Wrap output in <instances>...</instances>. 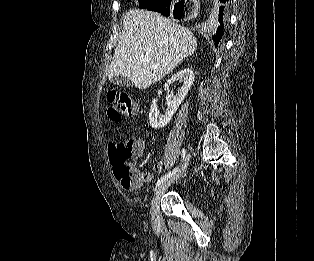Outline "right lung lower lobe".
Wrapping results in <instances>:
<instances>
[{"mask_svg": "<svg viewBox=\"0 0 314 261\" xmlns=\"http://www.w3.org/2000/svg\"><path fill=\"white\" fill-rule=\"evenodd\" d=\"M216 8L218 14V20L216 26L210 31L211 38L214 41L215 47L221 44L222 37L224 35V30L227 22L228 14V1L229 0H215ZM151 11H157L165 16H172L176 19L182 18V6L181 3H176L175 0H162L161 2L152 5L147 8Z\"/></svg>", "mask_w": 314, "mask_h": 261, "instance_id": "1", "label": "right lung lower lobe"}]
</instances>
